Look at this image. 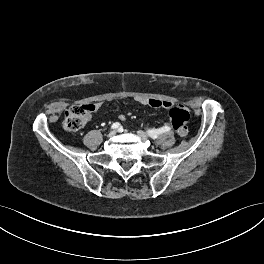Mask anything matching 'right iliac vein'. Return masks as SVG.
Returning <instances> with one entry per match:
<instances>
[{"label":"right iliac vein","instance_id":"63e3f726","mask_svg":"<svg viewBox=\"0 0 264 264\" xmlns=\"http://www.w3.org/2000/svg\"><path fill=\"white\" fill-rule=\"evenodd\" d=\"M115 134H116V131L112 130V131L109 132L108 137L111 138V137L115 136Z\"/></svg>","mask_w":264,"mask_h":264}]
</instances>
